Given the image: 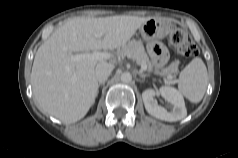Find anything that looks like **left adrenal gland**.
Here are the masks:
<instances>
[{
    "mask_svg": "<svg viewBox=\"0 0 238 158\" xmlns=\"http://www.w3.org/2000/svg\"><path fill=\"white\" fill-rule=\"evenodd\" d=\"M139 76L142 78V79H145V77H148L149 75L148 74H144L142 73L141 71L139 72Z\"/></svg>",
    "mask_w": 238,
    "mask_h": 158,
    "instance_id": "1",
    "label": "left adrenal gland"
}]
</instances>
